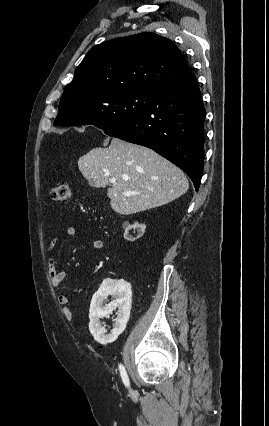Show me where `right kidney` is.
Masks as SVG:
<instances>
[{
	"label": "right kidney",
	"instance_id": "obj_1",
	"mask_svg": "<svg viewBox=\"0 0 269 426\" xmlns=\"http://www.w3.org/2000/svg\"><path fill=\"white\" fill-rule=\"evenodd\" d=\"M122 227L125 230L124 239L130 242L140 238L146 228L145 225L139 223L130 225L128 222H124ZM131 228H134V230L137 229L138 235L136 237L132 234H129L128 230ZM131 294L130 284L123 280L106 279L103 281L99 290L95 293L92 299L89 314V330L97 342L101 344L112 342L118 334L119 329L125 326L129 314ZM109 295H112L114 300L111 303L103 306V302ZM114 308L119 309L115 328L112 334L107 335L105 334V328L101 325L100 318L106 317Z\"/></svg>",
	"mask_w": 269,
	"mask_h": 426
}]
</instances>
